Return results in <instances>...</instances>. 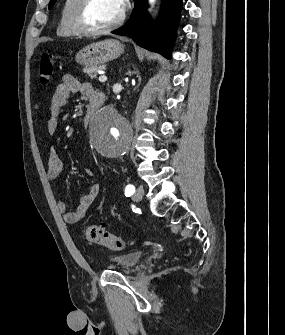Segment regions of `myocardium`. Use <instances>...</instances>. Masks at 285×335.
<instances>
[{
  "mask_svg": "<svg viewBox=\"0 0 285 335\" xmlns=\"http://www.w3.org/2000/svg\"><path fill=\"white\" fill-rule=\"evenodd\" d=\"M92 1H78L74 12V24L80 34L85 36H99L107 34L122 23L124 19L125 7L128 1H121L119 14L117 18L108 26L103 28H94L87 21V12Z\"/></svg>",
  "mask_w": 285,
  "mask_h": 335,
  "instance_id": "myocardium-1",
  "label": "myocardium"
}]
</instances>
